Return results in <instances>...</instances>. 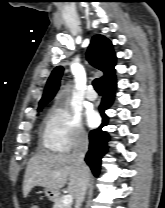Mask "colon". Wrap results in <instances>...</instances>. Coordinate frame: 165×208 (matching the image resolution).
<instances>
[{"instance_id": "obj_1", "label": "colon", "mask_w": 165, "mask_h": 208, "mask_svg": "<svg viewBox=\"0 0 165 208\" xmlns=\"http://www.w3.org/2000/svg\"><path fill=\"white\" fill-rule=\"evenodd\" d=\"M30 208H41V207L38 203L34 202L30 205Z\"/></svg>"}]
</instances>
